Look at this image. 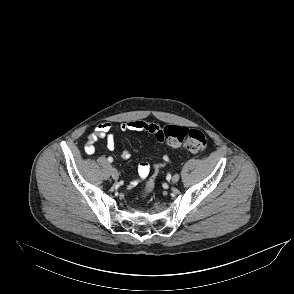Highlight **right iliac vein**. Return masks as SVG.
Returning a JSON list of instances; mask_svg holds the SVG:
<instances>
[{
    "label": "right iliac vein",
    "instance_id": "63e3f726",
    "mask_svg": "<svg viewBox=\"0 0 294 294\" xmlns=\"http://www.w3.org/2000/svg\"><path fill=\"white\" fill-rule=\"evenodd\" d=\"M111 176H112V178L115 181H117L119 179V173H118V171L116 169H114V168L111 169Z\"/></svg>",
    "mask_w": 294,
    "mask_h": 294
}]
</instances>
